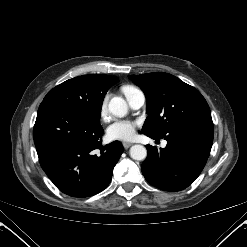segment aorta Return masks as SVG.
Listing matches in <instances>:
<instances>
[{"mask_svg": "<svg viewBox=\"0 0 247 247\" xmlns=\"http://www.w3.org/2000/svg\"><path fill=\"white\" fill-rule=\"evenodd\" d=\"M108 109L117 117H124L128 113V105L121 97H113L108 104ZM130 156L134 160H144L147 156V150L143 145H133L130 148Z\"/></svg>", "mask_w": 247, "mask_h": 247, "instance_id": "aorta-1", "label": "aorta"}]
</instances>
